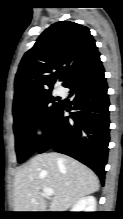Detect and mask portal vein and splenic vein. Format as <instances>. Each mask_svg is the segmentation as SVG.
Masks as SVG:
<instances>
[{
    "label": "portal vein and splenic vein",
    "mask_w": 123,
    "mask_h": 219,
    "mask_svg": "<svg viewBox=\"0 0 123 219\" xmlns=\"http://www.w3.org/2000/svg\"><path fill=\"white\" fill-rule=\"evenodd\" d=\"M43 192L46 196H53L54 195V192L51 188L45 187V188H43Z\"/></svg>",
    "instance_id": "portal-vein-and-splenic-vein-1"
}]
</instances>
